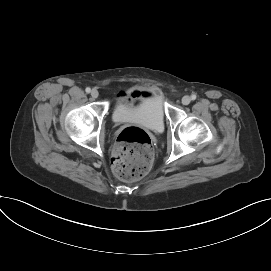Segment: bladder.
Wrapping results in <instances>:
<instances>
[{
	"label": "bladder",
	"instance_id": "obj_1",
	"mask_svg": "<svg viewBox=\"0 0 271 271\" xmlns=\"http://www.w3.org/2000/svg\"><path fill=\"white\" fill-rule=\"evenodd\" d=\"M112 118L119 124L139 123L160 132L165 125L162 98L158 93H152L131 102L120 99L113 108Z\"/></svg>",
	"mask_w": 271,
	"mask_h": 271
}]
</instances>
